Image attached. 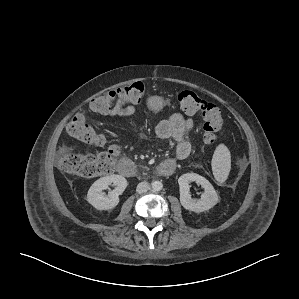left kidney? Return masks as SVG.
Returning <instances> with one entry per match:
<instances>
[{
    "label": "left kidney",
    "instance_id": "obj_1",
    "mask_svg": "<svg viewBox=\"0 0 299 299\" xmlns=\"http://www.w3.org/2000/svg\"><path fill=\"white\" fill-rule=\"evenodd\" d=\"M196 182L204 188V193L200 200L195 201L190 195V183ZM178 184L180 187V203L189 210L196 213L204 212L218 203V195L212 184L204 177L196 173H186L179 177Z\"/></svg>",
    "mask_w": 299,
    "mask_h": 299
}]
</instances>
